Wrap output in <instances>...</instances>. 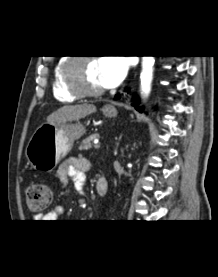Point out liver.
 <instances>
[{
    "label": "liver",
    "instance_id": "obj_1",
    "mask_svg": "<svg viewBox=\"0 0 218 277\" xmlns=\"http://www.w3.org/2000/svg\"><path fill=\"white\" fill-rule=\"evenodd\" d=\"M94 112H96V107L92 104L67 105L49 115L47 122L66 123L85 118Z\"/></svg>",
    "mask_w": 218,
    "mask_h": 277
}]
</instances>
